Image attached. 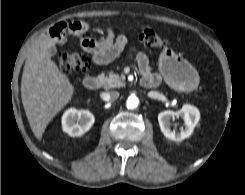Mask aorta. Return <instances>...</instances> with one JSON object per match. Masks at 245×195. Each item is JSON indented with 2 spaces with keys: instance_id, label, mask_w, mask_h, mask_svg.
<instances>
[{
  "instance_id": "aorta-1",
  "label": "aorta",
  "mask_w": 245,
  "mask_h": 195,
  "mask_svg": "<svg viewBox=\"0 0 245 195\" xmlns=\"http://www.w3.org/2000/svg\"><path fill=\"white\" fill-rule=\"evenodd\" d=\"M139 104V99L136 97V95L132 94L129 96L127 100V107L129 109H135Z\"/></svg>"
}]
</instances>
